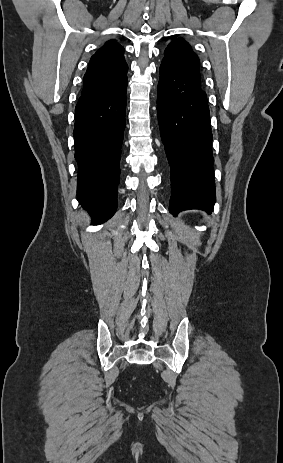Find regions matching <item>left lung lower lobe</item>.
I'll list each match as a JSON object with an SVG mask.
<instances>
[{
    "instance_id": "left-lung-lower-lobe-1",
    "label": "left lung lower lobe",
    "mask_w": 283,
    "mask_h": 463,
    "mask_svg": "<svg viewBox=\"0 0 283 463\" xmlns=\"http://www.w3.org/2000/svg\"><path fill=\"white\" fill-rule=\"evenodd\" d=\"M157 112L171 168L170 213L213 210L212 133L206 93L166 60L160 66Z\"/></svg>"
}]
</instances>
